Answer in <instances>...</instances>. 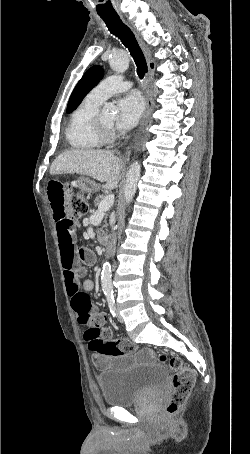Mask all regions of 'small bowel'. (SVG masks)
<instances>
[{
    "mask_svg": "<svg viewBox=\"0 0 250 454\" xmlns=\"http://www.w3.org/2000/svg\"><path fill=\"white\" fill-rule=\"evenodd\" d=\"M72 192L69 183L56 179L50 180L47 186V197L53 211L56 223L61 263L67 293L71 298L72 308L77 314L78 321L89 317L104 318L98 308L91 303L89 293L94 290V282L83 279V267L93 265L94 253L86 248H77L76 231L78 223L67 215V203ZM94 365L105 370L117 365V361L111 357L94 354Z\"/></svg>",
    "mask_w": 250,
    "mask_h": 454,
    "instance_id": "small-bowel-1",
    "label": "small bowel"
}]
</instances>
